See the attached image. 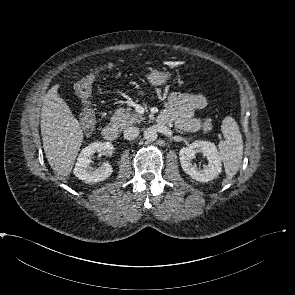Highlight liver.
<instances>
[{"instance_id":"1","label":"liver","mask_w":295,"mask_h":295,"mask_svg":"<svg viewBox=\"0 0 295 295\" xmlns=\"http://www.w3.org/2000/svg\"><path fill=\"white\" fill-rule=\"evenodd\" d=\"M59 86H52L44 96L41 135L48 163L59 175L67 177L82 145L83 132L69 106L58 95Z\"/></svg>"}]
</instances>
